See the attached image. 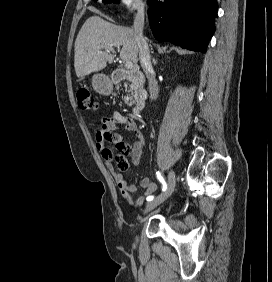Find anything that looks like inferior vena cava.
Instances as JSON below:
<instances>
[{"label": "inferior vena cava", "mask_w": 272, "mask_h": 282, "mask_svg": "<svg viewBox=\"0 0 272 282\" xmlns=\"http://www.w3.org/2000/svg\"><path fill=\"white\" fill-rule=\"evenodd\" d=\"M136 15L133 24V32L139 47V59L144 73L148 79V88L150 93V99L154 100L158 97L159 88L158 83L154 77V71L150 61L149 47L146 38L143 36V27L145 20V6L143 3H139L136 6Z\"/></svg>", "instance_id": "obj_1"}]
</instances>
